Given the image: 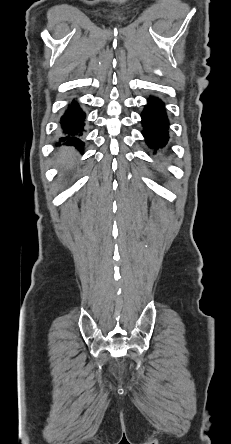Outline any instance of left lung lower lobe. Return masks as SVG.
I'll use <instances>...</instances> for the list:
<instances>
[{"label": "left lung lower lobe", "mask_w": 231, "mask_h": 444, "mask_svg": "<svg viewBox=\"0 0 231 444\" xmlns=\"http://www.w3.org/2000/svg\"><path fill=\"white\" fill-rule=\"evenodd\" d=\"M142 116V131L146 143L155 151L164 148L169 140L168 119L164 104L158 99H149Z\"/></svg>", "instance_id": "0a47b994"}]
</instances>
